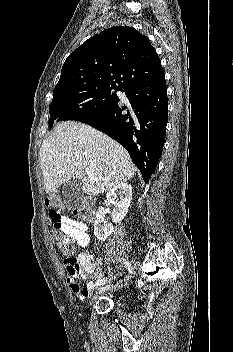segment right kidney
<instances>
[{
    "label": "right kidney",
    "instance_id": "1",
    "mask_svg": "<svg viewBox=\"0 0 233 352\" xmlns=\"http://www.w3.org/2000/svg\"><path fill=\"white\" fill-rule=\"evenodd\" d=\"M107 201L114 205L112 211L113 222L119 223L128 213V208L132 199V187L128 183H120L113 187L106 195ZM103 208L96 213V220L94 224V235L100 240L104 241L114 231L111 223L104 220Z\"/></svg>",
    "mask_w": 233,
    "mask_h": 352
}]
</instances>
